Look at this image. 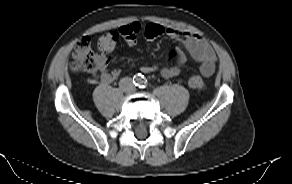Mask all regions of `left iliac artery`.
<instances>
[{"label":"left iliac artery","mask_w":292,"mask_h":184,"mask_svg":"<svg viewBox=\"0 0 292 184\" xmlns=\"http://www.w3.org/2000/svg\"><path fill=\"white\" fill-rule=\"evenodd\" d=\"M140 87H141V88H145V87H147V80H143V81L141 82V84H140Z\"/></svg>","instance_id":"44dca946"}]
</instances>
